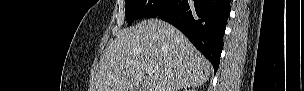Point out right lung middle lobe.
<instances>
[{
    "label": "right lung middle lobe",
    "mask_w": 304,
    "mask_h": 91,
    "mask_svg": "<svg viewBox=\"0 0 304 91\" xmlns=\"http://www.w3.org/2000/svg\"><path fill=\"white\" fill-rule=\"evenodd\" d=\"M170 0H125V15L129 25L138 18H154Z\"/></svg>",
    "instance_id": "dd1d6c3e"
}]
</instances>
